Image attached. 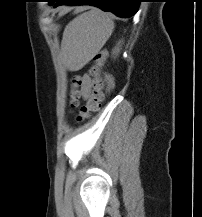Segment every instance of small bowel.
I'll return each instance as SVG.
<instances>
[{
    "label": "small bowel",
    "instance_id": "small-bowel-1",
    "mask_svg": "<svg viewBox=\"0 0 202 217\" xmlns=\"http://www.w3.org/2000/svg\"><path fill=\"white\" fill-rule=\"evenodd\" d=\"M106 79L109 85L112 86L113 85L112 77L110 75H107ZM82 81H83L81 87L82 96L84 99L88 100L91 94V79L88 75H85L83 76Z\"/></svg>",
    "mask_w": 202,
    "mask_h": 217
}]
</instances>
